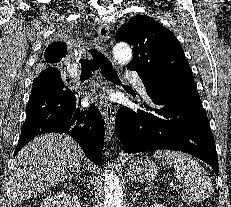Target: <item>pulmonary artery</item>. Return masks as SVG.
I'll list each match as a JSON object with an SVG mask.
<instances>
[{
    "label": "pulmonary artery",
    "instance_id": "obj_1",
    "mask_svg": "<svg viewBox=\"0 0 231 207\" xmlns=\"http://www.w3.org/2000/svg\"><path fill=\"white\" fill-rule=\"evenodd\" d=\"M72 77H76V73L74 71L71 72L70 74ZM126 78H128L132 84L134 85V87L139 90V91H143L144 90V83L143 80L136 74L133 72H127L126 73Z\"/></svg>",
    "mask_w": 231,
    "mask_h": 207
}]
</instances>
